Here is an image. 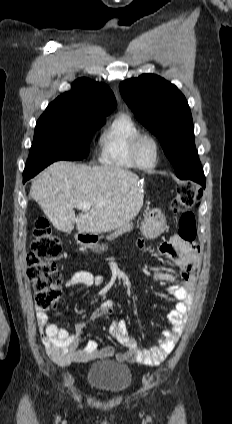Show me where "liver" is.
Segmentation results:
<instances>
[{"instance_id":"6515ba94","label":"liver","mask_w":232,"mask_h":424,"mask_svg":"<svg viewBox=\"0 0 232 424\" xmlns=\"http://www.w3.org/2000/svg\"><path fill=\"white\" fill-rule=\"evenodd\" d=\"M30 197L59 231L70 233L76 224L80 233L99 234L133 219L144 194L139 177L129 170L58 161L33 181ZM78 203L91 208L76 217Z\"/></svg>"}]
</instances>
